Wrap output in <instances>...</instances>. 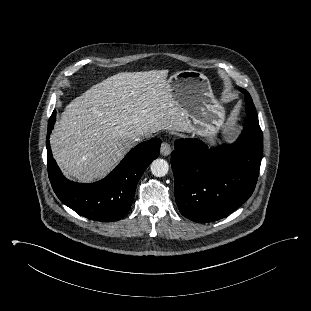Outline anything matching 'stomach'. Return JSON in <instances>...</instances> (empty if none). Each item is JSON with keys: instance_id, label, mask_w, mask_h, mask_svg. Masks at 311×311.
Listing matches in <instances>:
<instances>
[{"instance_id": "1", "label": "stomach", "mask_w": 311, "mask_h": 311, "mask_svg": "<svg viewBox=\"0 0 311 311\" xmlns=\"http://www.w3.org/2000/svg\"><path fill=\"white\" fill-rule=\"evenodd\" d=\"M167 83L174 100L186 111L192 129L201 135L214 136L223 125L225 110L215 100L207 76L194 70H180Z\"/></svg>"}]
</instances>
